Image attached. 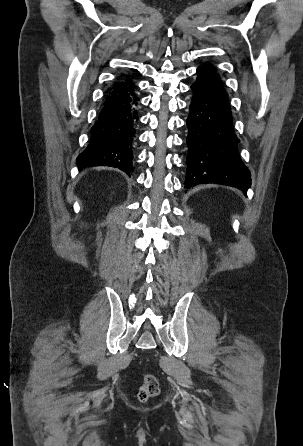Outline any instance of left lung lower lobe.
Returning a JSON list of instances; mask_svg holds the SVG:
<instances>
[{
	"label": "left lung lower lobe",
	"instance_id": "1",
	"mask_svg": "<svg viewBox=\"0 0 303 446\" xmlns=\"http://www.w3.org/2000/svg\"><path fill=\"white\" fill-rule=\"evenodd\" d=\"M191 89L185 188L215 183L236 187L246 194L251 174L237 150L239 139L233 132L227 93L209 62L198 67Z\"/></svg>",
	"mask_w": 303,
	"mask_h": 446
}]
</instances>
